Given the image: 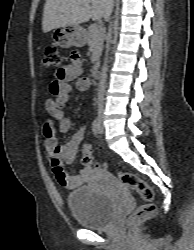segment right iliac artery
I'll return each instance as SVG.
<instances>
[{
	"mask_svg": "<svg viewBox=\"0 0 194 250\" xmlns=\"http://www.w3.org/2000/svg\"><path fill=\"white\" fill-rule=\"evenodd\" d=\"M99 128H100V119L96 117L92 123V131L95 135L99 133Z\"/></svg>",
	"mask_w": 194,
	"mask_h": 250,
	"instance_id": "82829eb1",
	"label": "right iliac artery"
}]
</instances>
